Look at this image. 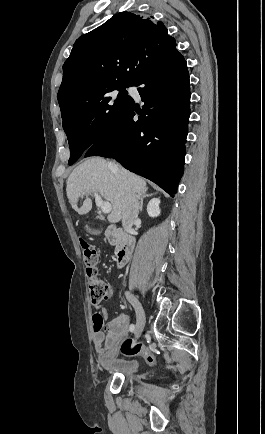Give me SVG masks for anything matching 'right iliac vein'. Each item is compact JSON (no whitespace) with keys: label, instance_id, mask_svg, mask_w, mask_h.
I'll return each mask as SVG.
<instances>
[{"label":"right iliac vein","instance_id":"obj_1","mask_svg":"<svg viewBox=\"0 0 265 434\" xmlns=\"http://www.w3.org/2000/svg\"><path fill=\"white\" fill-rule=\"evenodd\" d=\"M125 295L134 305L135 310H136V314H137V321H136L135 330H134L135 331V342H136L140 338L141 333H142L143 328H144L145 314H144V310H143L140 302L138 301V299L135 296L131 295L129 292H126Z\"/></svg>","mask_w":265,"mask_h":434}]
</instances>
